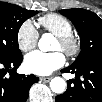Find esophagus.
Masks as SVG:
<instances>
[{"label": "esophagus", "mask_w": 102, "mask_h": 102, "mask_svg": "<svg viewBox=\"0 0 102 102\" xmlns=\"http://www.w3.org/2000/svg\"><path fill=\"white\" fill-rule=\"evenodd\" d=\"M52 79V77H40V80L43 82H49Z\"/></svg>", "instance_id": "esophagus-1"}]
</instances>
